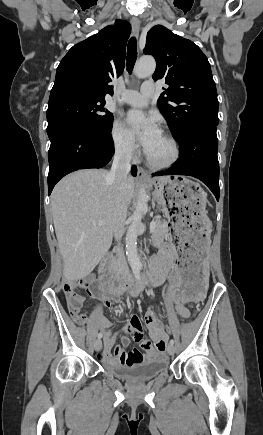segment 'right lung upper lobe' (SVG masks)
<instances>
[{
  "label": "right lung upper lobe",
  "mask_w": 263,
  "mask_h": 435,
  "mask_svg": "<svg viewBox=\"0 0 263 435\" xmlns=\"http://www.w3.org/2000/svg\"><path fill=\"white\" fill-rule=\"evenodd\" d=\"M130 32L129 22L116 20L115 25L74 45L57 68L49 106L76 99L105 100L106 94L113 95L110 82L124 70Z\"/></svg>",
  "instance_id": "right-lung-upper-lobe-1"
}]
</instances>
